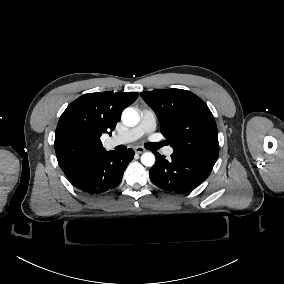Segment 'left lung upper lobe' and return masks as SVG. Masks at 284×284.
Instances as JSON below:
<instances>
[{
	"mask_svg": "<svg viewBox=\"0 0 284 284\" xmlns=\"http://www.w3.org/2000/svg\"><path fill=\"white\" fill-rule=\"evenodd\" d=\"M140 95L156 113L175 154L215 164L219 152L216 122L197 95L182 89H157Z\"/></svg>",
	"mask_w": 284,
	"mask_h": 284,
	"instance_id": "1",
	"label": "left lung upper lobe"
}]
</instances>
